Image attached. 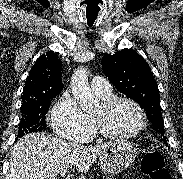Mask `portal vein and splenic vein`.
<instances>
[{
    "label": "portal vein and splenic vein",
    "mask_w": 183,
    "mask_h": 179,
    "mask_svg": "<svg viewBox=\"0 0 183 179\" xmlns=\"http://www.w3.org/2000/svg\"><path fill=\"white\" fill-rule=\"evenodd\" d=\"M59 173L62 177H64L67 173V169H62Z\"/></svg>",
    "instance_id": "1"
}]
</instances>
